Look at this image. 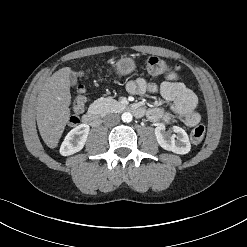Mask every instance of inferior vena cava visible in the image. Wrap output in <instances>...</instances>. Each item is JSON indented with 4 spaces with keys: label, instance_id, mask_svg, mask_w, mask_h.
Returning <instances> with one entry per match:
<instances>
[{
    "label": "inferior vena cava",
    "instance_id": "obj_1",
    "mask_svg": "<svg viewBox=\"0 0 247 247\" xmlns=\"http://www.w3.org/2000/svg\"><path fill=\"white\" fill-rule=\"evenodd\" d=\"M120 122V117L117 114H109L104 118L105 125L113 126Z\"/></svg>",
    "mask_w": 247,
    "mask_h": 247
}]
</instances>
